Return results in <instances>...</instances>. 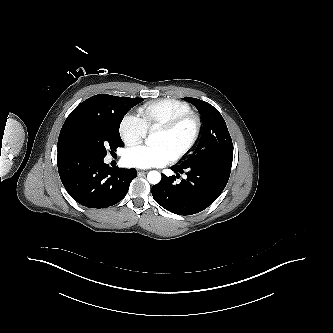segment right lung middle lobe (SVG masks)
Wrapping results in <instances>:
<instances>
[{
	"label": "right lung middle lobe",
	"mask_w": 333,
	"mask_h": 333,
	"mask_svg": "<svg viewBox=\"0 0 333 333\" xmlns=\"http://www.w3.org/2000/svg\"><path fill=\"white\" fill-rule=\"evenodd\" d=\"M142 98L109 96L104 112L74 110L66 119L58 139V151L85 152L105 157L107 151L123 147L119 127L124 115Z\"/></svg>",
	"instance_id": "1"
}]
</instances>
